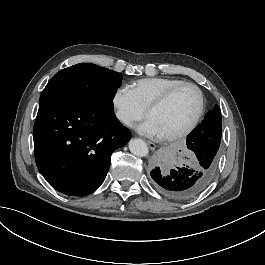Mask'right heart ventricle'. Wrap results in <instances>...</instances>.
Wrapping results in <instances>:
<instances>
[{"label":"right heart ventricle","instance_id":"right-heart-ventricle-1","mask_svg":"<svg viewBox=\"0 0 265 265\" xmlns=\"http://www.w3.org/2000/svg\"><path fill=\"white\" fill-rule=\"evenodd\" d=\"M186 81L169 77H150L132 82L129 86L146 110L172 88Z\"/></svg>","mask_w":265,"mask_h":265}]
</instances>
